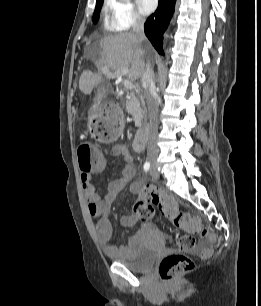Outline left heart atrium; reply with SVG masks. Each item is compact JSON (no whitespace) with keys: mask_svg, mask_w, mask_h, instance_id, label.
Returning <instances> with one entry per match:
<instances>
[{"mask_svg":"<svg viewBox=\"0 0 261 306\" xmlns=\"http://www.w3.org/2000/svg\"><path fill=\"white\" fill-rule=\"evenodd\" d=\"M137 3L143 14H149L156 9L158 0H137Z\"/></svg>","mask_w":261,"mask_h":306,"instance_id":"39dd6f15","label":"left heart atrium"}]
</instances>
